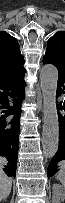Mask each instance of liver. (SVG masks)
<instances>
[{
	"label": "liver",
	"mask_w": 65,
	"mask_h": 203,
	"mask_svg": "<svg viewBox=\"0 0 65 203\" xmlns=\"http://www.w3.org/2000/svg\"><path fill=\"white\" fill-rule=\"evenodd\" d=\"M7 161L5 158H0V164L4 165ZM12 187V179L8 177L5 173L0 172V200H5L10 192Z\"/></svg>",
	"instance_id": "obj_1"
}]
</instances>
